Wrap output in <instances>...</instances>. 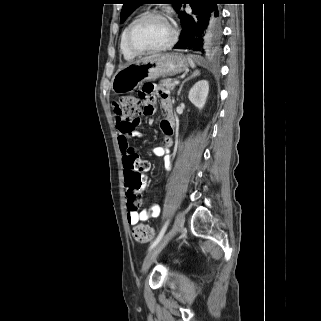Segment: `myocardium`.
I'll return each mask as SVG.
<instances>
[{"mask_svg": "<svg viewBox=\"0 0 321 321\" xmlns=\"http://www.w3.org/2000/svg\"><path fill=\"white\" fill-rule=\"evenodd\" d=\"M149 17H159V18L164 19L169 24V26L171 28V37L165 44H163L159 47L148 49V50H139V49L135 48L132 44V41H131L132 34H133V31L135 30V28L137 27V25ZM177 39H178L177 27L170 20L168 15L162 11H159V10H150V11H146V12L142 13L140 16H138L131 23V25L129 26L127 33H126L125 43H126L127 49L132 54H134L136 56H142V55L154 54V53H159V52L168 50L177 42Z\"/></svg>", "mask_w": 321, "mask_h": 321, "instance_id": "f54148a6", "label": "myocardium"}]
</instances>
